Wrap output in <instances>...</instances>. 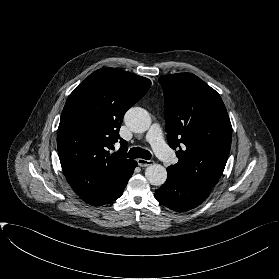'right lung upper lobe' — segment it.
<instances>
[{"label":"right lung upper lobe","mask_w":279,"mask_h":279,"mask_svg":"<svg viewBox=\"0 0 279 279\" xmlns=\"http://www.w3.org/2000/svg\"><path fill=\"white\" fill-rule=\"evenodd\" d=\"M150 86L145 77L102 68L68 97L58 127V154L69 184L86 203L108 196L134 169L137 162L126 158L119 130L125 112ZM118 140L123 151L110 154Z\"/></svg>","instance_id":"obj_1"}]
</instances>
